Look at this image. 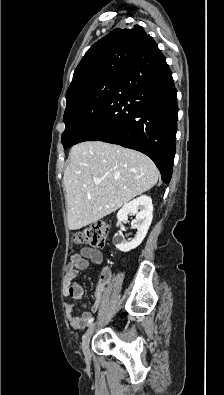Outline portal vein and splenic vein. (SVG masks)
<instances>
[{"label": "portal vein and splenic vein", "mask_w": 224, "mask_h": 395, "mask_svg": "<svg viewBox=\"0 0 224 395\" xmlns=\"http://www.w3.org/2000/svg\"><path fill=\"white\" fill-rule=\"evenodd\" d=\"M95 182H96V184H100L101 181L100 180H96Z\"/></svg>", "instance_id": "portal-vein-and-splenic-vein-1"}]
</instances>
